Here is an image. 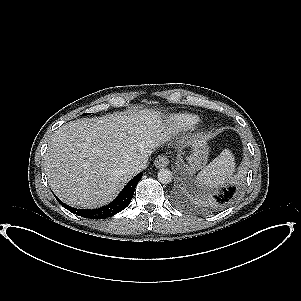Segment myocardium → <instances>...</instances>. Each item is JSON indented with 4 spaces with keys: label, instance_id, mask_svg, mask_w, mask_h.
<instances>
[{
    "label": "myocardium",
    "instance_id": "f54148a6",
    "mask_svg": "<svg viewBox=\"0 0 301 301\" xmlns=\"http://www.w3.org/2000/svg\"><path fill=\"white\" fill-rule=\"evenodd\" d=\"M205 132H206V128H205L204 126H201V127L199 128L198 134H199V135H202V134H204Z\"/></svg>",
    "mask_w": 301,
    "mask_h": 301
}]
</instances>
